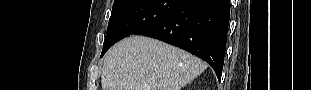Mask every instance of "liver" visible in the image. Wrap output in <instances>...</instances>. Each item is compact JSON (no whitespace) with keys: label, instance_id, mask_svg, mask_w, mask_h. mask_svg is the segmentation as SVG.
Listing matches in <instances>:
<instances>
[{"label":"liver","instance_id":"obj_1","mask_svg":"<svg viewBox=\"0 0 311 90\" xmlns=\"http://www.w3.org/2000/svg\"><path fill=\"white\" fill-rule=\"evenodd\" d=\"M207 65L196 56L159 40L131 36L107 52L102 90H180Z\"/></svg>","mask_w":311,"mask_h":90}]
</instances>
